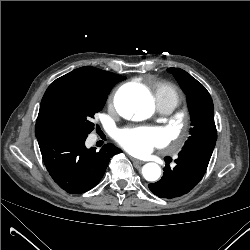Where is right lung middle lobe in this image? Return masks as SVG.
<instances>
[{"instance_id":"1","label":"right lung middle lobe","mask_w":250,"mask_h":250,"mask_svg":"<svg viewBox=\"0 0 250 250\" xmlns=\"http://www.w3.org/2000/svg\"><path fill=\"white\" fill-rule=\"evenodd\" d=\"M124 79L99 86L69 84L60 88L51 101L50 124L53 131L89 134L94 129V114L102 110L112 87Z\"/></svg>"}]
</instances>
